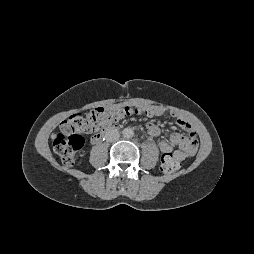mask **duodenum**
<instances>
[{
	"instance_id": "1",
	"label": "duodenum",
	"mask_w": 254,
	"mask_h": 254,
	"mask_svg": "<svg viewBox=\"0 0 254 254\" xmlns=\"http://www.w3.org/2000/svg\"><path fill=\"white\" fill-rule=\"evenodd\" d=\"M107 133H108V131H101V132L95 134V135L92 137L91 142H92L93 144L99 143V142L106 136Z\"/></svg>"
}]
</instances>
